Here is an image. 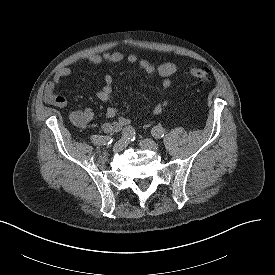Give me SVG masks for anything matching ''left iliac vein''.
Listing matches in <instances>:
<instances>
[{
    "label": "left iliac vein",
    "mask_w": 275,
    "mask_h": 275,
    "mask_svg": "<svg viewBox=\"0 0 275 275\" xmlns=\"http://www.w3.org/2000/svg\"><path fill=\"white\" fill-rule=\"evenodd\" d=\"M140 147L146 150H151L154 152H158L159 151V147L156 144L155 141H153L152 139H143L140 141L139 143Z\"/></svg>",
    "instance_id": "obj_1"
}]
</instances>
